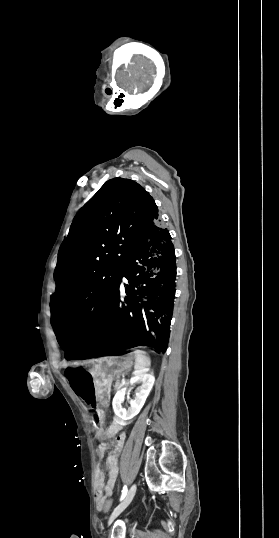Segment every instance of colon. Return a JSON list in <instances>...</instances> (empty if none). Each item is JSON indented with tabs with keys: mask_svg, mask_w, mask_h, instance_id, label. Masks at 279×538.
Returning a JSON list of instances; mask_svg holds the SVG:
<instances>
[{
	"mask_svg": "<svg viewBox=\"0 0 279 538\" xmlns=\"http://www.w3.org/2000/svg\"><path fill=\"white\" fill-rule=\"evenodd\" d=\"M113 507V502L111 500H106L102 506L101 509L103 511H109Z\"/></svg>",
	"mask_w": 279,
	"mask_h": 538,
	"instance_id": "colon-1",
	"label": "colon"
}]
</instances>
